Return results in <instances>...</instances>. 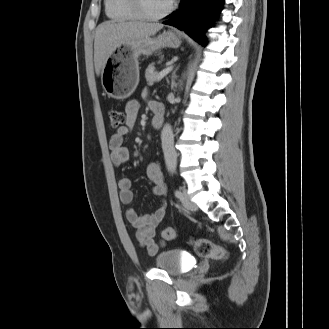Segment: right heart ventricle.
Listing matches in <instances>:
<instances>
[{"label":"right heart ventricle","mask_w":329,"mask_h":329,"mask_svg":"<svg viewBox=\"0 0 329 329\" xmlns=\"http://www.w3.org/2000/svg\"><path fill=\"white\" fill-rule=\"evenodd\" d=\"M105 11L107 16L114 20L137 19V15L132 10L128 0H105Z\"/></svg>","instance_id":"right-heart-ventricle-1"}]
</instances>
